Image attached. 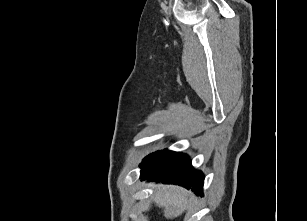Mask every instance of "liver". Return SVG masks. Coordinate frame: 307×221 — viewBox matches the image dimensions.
<instances>
[{
  "label": "liver",
  "instance_id": "liver-1",
  "mask_svg": "<svg viewBox=\"0 0 307 221\" xmlns=\"http://www.w3.org/2000/svg\"><path fill=\"white\" fill-rule=\"evenodd\" d=\"M154 200L159 207L171 210L167 212L166 218L178 217L189 206L186 191L179 187L158 186Z\"/></svg>",
  "mask_w": 307,
  "mask_h": 221
}]
</instances>
